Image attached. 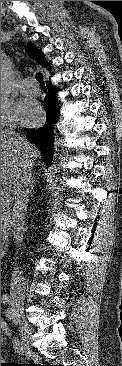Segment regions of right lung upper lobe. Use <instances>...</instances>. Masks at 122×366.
Returning <instances> with one entry per match:
<instances>
[{"label": "right lung upper lobe", "mask_w": 122, "mask_h": 366, "mask_svg": "<svg viewBox=\"0 0 122 366\" xmlns=\"http://www.w3.org/2000/svg\"><path fill=\"white\" fill-rule=\"evenodd\" d=\"M28 55L35 60L36 63L47 65L44 54L34 44H29L26 48Z\"/></svg>", "instance_id": "cb5924a9"}]
</instances>
